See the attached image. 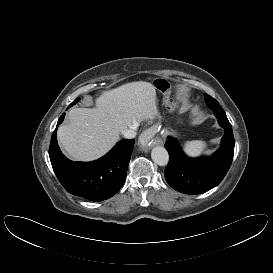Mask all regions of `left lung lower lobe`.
Returning a JSON list of instances; mask_svg holds the SVG:
<instances>
[{
    "label": "left lung lower lobe",
    "instance_id": "obj_1",
    "mask_svg": "<svg viewBox=\"0 0 273 273\" xmlns=\"http://www.w3.org/2000/svg\"><path fill=\"white\" fill-rule=\"evenodd\" d=\"M225 129L222 146L211 156L192 159L187 157L174 138L169 137L165 147L169 163L165 179L175 190L185 194H201L217 186L230 168L234 154V136L225 112H214Z\"/></svg>",
    "mask_w": 273,
    "mask_h": 273
}]
</instances>
